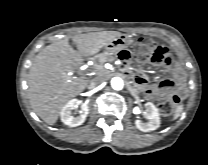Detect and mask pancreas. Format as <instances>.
I'll return each instance as SVG.
<instances>
[{
    "mask_svg": "<svg viewBox=\"0 0 208 165\" xmlns=\"http://www.w3.org/2000/svg\"><path fill=\"white\" fill-rule=\"evenodd\" d=\"M114 53H111L109 51H104L103 53L99 54L97 56V64H95L96 70L98 73H106L107 70L103 68V64L105 62H112L116 59V57L113 56Z\"/></svg>",
    "mask_w": 208,
    "mask_h": 165,
    "instance_id": "1",
    "label": "pancreas"
}]
</instances>
